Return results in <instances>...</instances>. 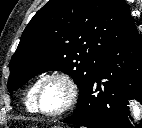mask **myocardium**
I'll use <instances>...</instances> for the list:
<instances>
[{"mask_svg": "<svg viewBox=\"0 0 142 128\" xmlns=\"http://www.w3.org/2000/svg\"><path fill=\"white\" fill-rule=\"evenodd\" d=\"M51 79H55L63 83V85L66 87L67 90V98L65 104L59 110L54 112H47L41 109L39 104V96L43 83ZM77 98H78V87L75 80L66 72L51 71L45 73L39 78L34 94V104L37 113L46 117H59L72 109V107L75 105L77 101Z\"/></svg>", "mask_w": 142, "mask_h": 128, "instance_id": "f54148a6", "label": "myocardium"}]
</instances>
